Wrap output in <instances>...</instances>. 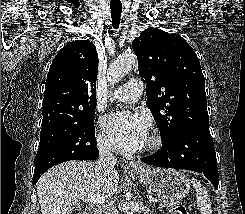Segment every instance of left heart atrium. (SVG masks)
I'll use <instances>...</instances> for the list:
<instances>
[{
    "label": "left heart atrium",
    "instance_id": "left-heart-atrium-1",
    "mask_svg": "<svg viewBox=\"0 0 245 214\" xmlns=\"http://www.w3.org/2000/svg\"><path fill=\"white\" fill-rule=\"evenodd\" d=\"M105 135L110 146L120 153H132L147 142L149 122L141 114L118 112L102 120Z\"/></svg>",
    "mask_w": 245,
    "mask_h": 214
}]
</instances>
